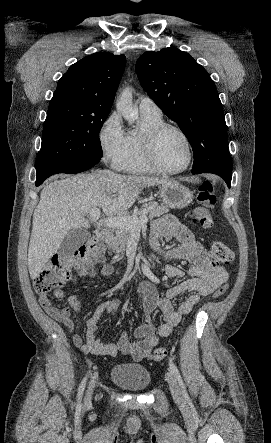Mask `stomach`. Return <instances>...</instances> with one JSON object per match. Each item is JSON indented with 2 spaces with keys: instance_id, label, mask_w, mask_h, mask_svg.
<instances>
[{
  "instance_id": "0dacf381",
  "label": "stomach",
  "mask_w": 271,
  "mask_h": 443,
  "mask_svg": "<svg viewBox=\"0 0 271 443\" xmlns=\"http://www.w3.org/2000/svg\"><path fill=\"white\" fill-rule=\"evenodd\" d=\"M160 196L163 204L168 208H175V210H182L193 202V192H190L185 186H181L178 182H167L160 188Z\"/></svg>"
}]
</instances>
